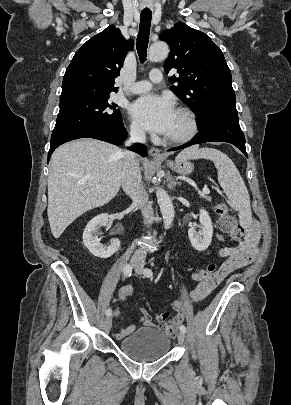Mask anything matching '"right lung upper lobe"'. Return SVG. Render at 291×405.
Segmentation results:
<instances>
[{"instance_id": "1", "label": "right lung upper lobe", "mask_w": 291, "mask_h": 405, "mask_svg": "<svg viewBox=\"0 0 291 405\" xmlns=\"http://www.w3.org/2000/svg\"><path fill=\"white\" fill-rule=\"evenodd\" d=\"M132 48L133 41H126L113 25L90 38L75 53L65 72L60 101L117 92L114 79L120 75L125 55Z\"/></svg>"}]
</instances>
